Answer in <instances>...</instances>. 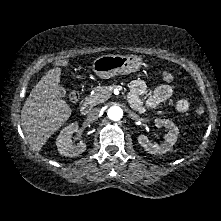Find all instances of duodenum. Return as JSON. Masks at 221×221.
I'll return each instance as SVG.
<instances>
[{
	"label": "duodenum",
	"mask_w": 221,
	"mask_h": 221,
	"mask_svg": "<svg viewBox=\"0 0 221 221\" xmlns=\"http://www.w3.org/2000/svg\"><path fill=\"white\" fill-rule=\"evenodd\" d=\"M91 109V103L89 101H85L81 106H80V112L83 115H86L89 113Z\"/></svg>",
	"instance_id": "obj_1"
}]
</instances>
